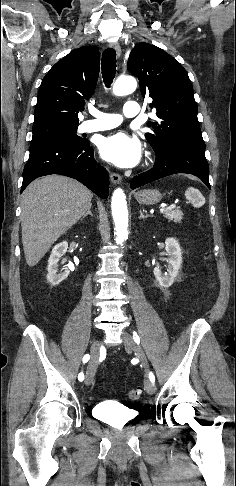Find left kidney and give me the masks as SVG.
Here are the masks:
<instances>
[{
    "label": "left kidney",
    "instance_id": "1",
    "mask_svg": "<svg viewBox=\"0 0 236 486\" xmlns=\"http://www.w3.org/2000/svg\"><path fill=\"white\" fill-rule=\"evenodd\" d=\"M165 245V250L169 255L167 272L163 273L159 267H155L153 273L159 285L168 288L179 274L182 264V251L174 238H167Z\"/></svg>",
    "mask_w": 236,
    "mask_h": 486
}]
</instances>
